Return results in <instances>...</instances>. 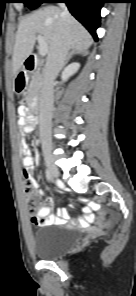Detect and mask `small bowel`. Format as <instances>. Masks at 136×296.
<instances>
[{"label": "small bowel", "instance_id": "c3829d8e", "mask_svg": "<svg viewBox=\"0 0 136 296\" xmlns=\"http://www.w3.org/2000/svg\"><path fill=\"white\" fill-rule=\"evenodd\" d=\"M20 117L18 124L21 129V152L23 154V165H24V175L31 179L33 185L38 189V183L35 179L34 174V160L32 157L31 149L29 145L25 142V138L28 134L33 131L34 117L32 113L25 107L20 109ZM42 193V192H40ZM84 217L81 222L83 224L90 223L94 217L92 213V208L85 206L83 208ZM70 218V214L66 209H61L58 211L57 215L50 213V207L45 206L41 207L37 213V220L33 221L34 224L39 226H49L54 224H64ZM39 220H42V223H38ZM97 222L101 225L106 223L105 214L103 212H97Z\"/></svg>", "mask_w": 136, "mask_h": 296}]
</instances>
